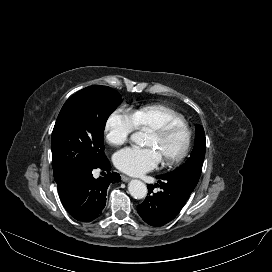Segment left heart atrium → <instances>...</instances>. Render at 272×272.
<instances>
[{
  "label": "left heart atrium",
  "instance_id": "1",
  "mask_svg": "<svg viewBox=\"0 0 272 272\" xmlns=\"http://www.w3.org/2000/svg\"><path fill=\"white\" fill-rule=\"evenodd\" d=\"M161 161V155L154 148L129 147L114 156L116 167L130 175H141L154 169Z\"/></svg>",
  "mask_w": 272,
  "mask_h": 272
}]
</instances>
